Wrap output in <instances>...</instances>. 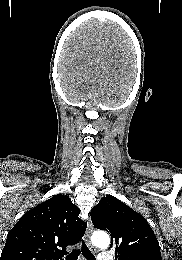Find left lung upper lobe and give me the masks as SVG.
<instances>
[{"mask_svg": "<svg viewBox=\"0 0 182 260\" xmlns=\"http://www.w3.org/2000/svg\"><path fill=\"white\" fill-rule=\"evenodd\" d=\"M93 225L110 233L115 260H162L158 240L145 218L114 196L91 210Z\"/></svg>", "mask_w": 182, "mask_h": 260, "instance_id": "5c2ea615", "label": "left lung upper lobe"}]
</instances>
